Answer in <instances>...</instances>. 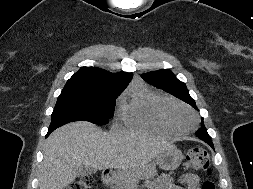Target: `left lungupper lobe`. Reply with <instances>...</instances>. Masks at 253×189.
I'll return each mask as SVG.
<instances>
[{
	"label": "left lung upper lobe",
	"mask_w": 253,
	"mask_h": 189,
	"mask_svg": "<svg viewBox=\"0 0 253 189\" xmlns=\"http://www.w3.org/2000/svg\"><path fill=\"white\" fill-rule=\"evenodd\" d=\"M141 77L149 84L159 89H163L197 109L195 101L190 97L186 85L179 81L170 70L162 69L143 74ZM197 133L209 136L204 124L201 125V128Z\"/></svg>",
	"instance_id": "5c2ea615"
}]
</instances>
